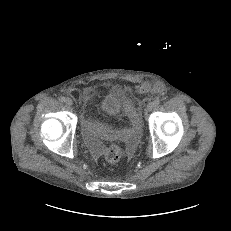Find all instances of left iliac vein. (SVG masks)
Wrapping results in <instances>:
<instances>
[{
    "label": "left iliac vein",
    "mask_w": 231,
    "mask_h": 231,
    "mask_svg": "<svg viewBox=\"0 0 231 231\" xmlns=\"http://www.w3.org/2000/svg\"><path fill=\"white\" fill-rule=\"evenodd\" d=\"M154 107H155L154 102H149V103L147 104V110H148V111H152V110L154 109Z\"/></svg>",
    "instance_id": "left-iliac-vein-1"
}]
</instances>
